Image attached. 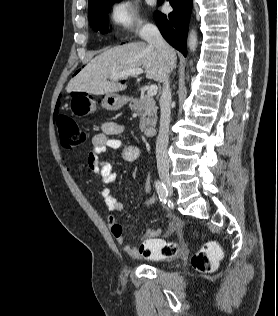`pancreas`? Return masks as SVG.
Returning <instances> with one entry per match:
<instances>
[{"label":"pancreas","mask_w":278,"mask_h":316,"mask_svg":"<svg viewBox=\"0 0 278 316\" xmlns=\"http://www.w3.org/2000/svg\"><path fill=\"white\" fill-rule=\"evenodd\" d=\"M130 109L140 114V130L144 131L147 126H155L157 121L156 102L148 95L133 99L129 105Z\"/></svg>","instance_id":"cf45deb5"}]
</instances>
